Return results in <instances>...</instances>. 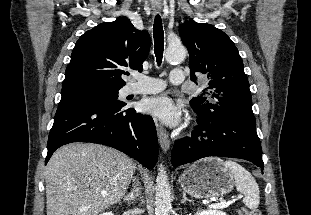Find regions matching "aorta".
Returning a JSON list of instances; mask_svg holds the SVG:
<instances>
[{"mask_svg":"<svg viewBox=\"0 0 311 215\" xmlns=\"http://www.w3.org/2000/svg\"><path fill=\"white\" fill-rule=\"evenodd\" d=\"M186 57V49L182 45L170 46L166 49L167 62H180ZM171 210V188L165 167L158 166L155 186V215H169Z\"/></svg>","mask_w":311,"mask_h":215,"instance_id":"aorta-1","label":"aorta"}]
</instances>
